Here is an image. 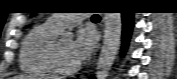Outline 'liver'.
<instances>
[{
	"instance_id": "6515ba94",
	"label": "liver",
	"mask_w": 177,
	"mask_h": 79,
	"mask_svg": "<svg viewBox=\"0 0 177 79\" xmlns=\"http://www.w3.org/2000/svg\"><path fill=\"white\" fill-rule=\"evenodd\" d=\"M57 79V78H54L53 76H17L15 77L14 79Z\"/></svg>"
}]
</instances>
